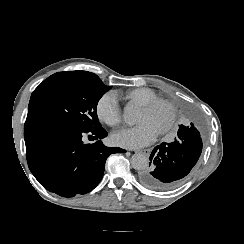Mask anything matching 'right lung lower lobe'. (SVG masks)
Here are the masks:
<instances>
[{
  "label": "right lung lower lobe",
  "instance_id": "obj_1",
  "mask_svg": "<svg viewBox=\"0 0 244 244\" xmlns=\"http://www.w3.org/2000/svg\"><path fill=\"white\" fill-rule=\"evenodd\" d=\"M85 135L93 144H85ZM102 127L92 131L74 129L48 119H26L24 139L29 169L47 190L64 197L94 189L104 174L112 153L125 150L106 147Z\"/></svg>",
  "mask_w": 244,
  "mask_h": 244
}]
</instances>
